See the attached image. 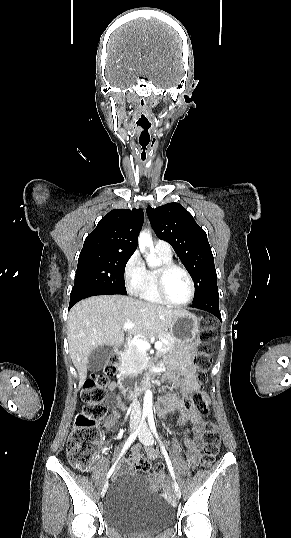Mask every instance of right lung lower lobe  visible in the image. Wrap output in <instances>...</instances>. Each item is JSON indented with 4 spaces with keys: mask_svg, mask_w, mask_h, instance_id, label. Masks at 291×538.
I'll list each match as a JSON object with an SVG mask.
<instances>
[{
    "mask_svg": "<svg viewBox=\"0 0 291 538\" xmlns=\"http://www.w3.org/2000/svg\"><path fill=\"white\" fill-rule=\"evenodd\" d=\"M105 294H109L111 295V293H101V294H80V295H77L75 296L74 298H70V304H69V309L75 304L77 303L78 301L84 299V298H87V297H90V296H95V295H105Z\"/></svg>",
    "mask_w": 291,
    "mask_h": 538,
    "instance_id": "98d812e1",
    "label": "right lung lower lobe"
}]
</instances>
